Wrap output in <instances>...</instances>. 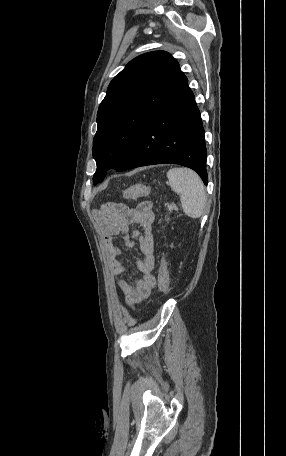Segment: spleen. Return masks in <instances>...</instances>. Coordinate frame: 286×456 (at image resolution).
Wrapping results in <instances>:
<instances>
[{
  "instance_id": "3e777b00",
  "label": "spleen",
  "mask_w": 286,
  "mask_h": 456,
  "mask_svg": "<svg viewBox=\"0 0 286 456\" xmlns=\"http://www.w3.org/2000/svg\"><path fill=\"white\" fill-rule=\"evenodd\" d=\"M167 178L172 190L180 196L184 213L194 219L201 217L207 196L198 174L187 168H173L167 172Z\"/></svg>"
}]
</instances>
